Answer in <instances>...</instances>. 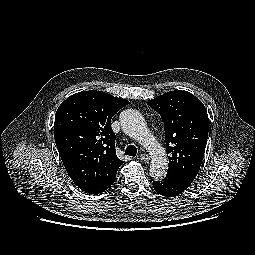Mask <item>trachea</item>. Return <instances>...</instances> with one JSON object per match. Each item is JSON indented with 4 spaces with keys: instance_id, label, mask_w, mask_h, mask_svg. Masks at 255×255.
Masks as SVG:
<instances>
[{
    "instance_id": "trachea-1",
    "label": "trachea",
    "mask_w": 255,
    "mask_h": 255,
    "mask_svg": "<svg viewBox=\"0 0 255 255\" xmlns=\"http://www.w3.org/2000/svg\"><path fill=\"white\" fill-rule=\"evenodd\" d=\"M137 154V148L134 145L127 146L125 150V155L133 156L135 157Z\"/></svg>"
}]
</instances>
